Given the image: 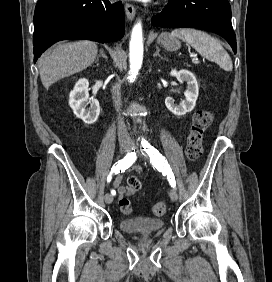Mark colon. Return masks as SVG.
<instances>
[{
	"mask_svg": "<svg viewBox=\"0 0 272 282\" xmlns=\"http://www.w3.org/2000/svg\"><path fill=\"white\" fill-rule=\"evenodd\" d=\"M213 113L209 110H200L195 113L193 117V122L190 127L187 143H186V156L187 158L194 162L201 157L202 154V136L204 131L213 122ZM137 179L130 177L128 179V184H135ZM120 209L124 214H131L133 211L132 203L127 198H122L119 202ZM167 210V204L163 201L156 202L152 207V214L155 217H162Z\"/></svg>",
	"mask_w": 272,
	"mask_h": 282,
	"instance_id": "obj_1",
	"label": "colon"
}]
</instances>
